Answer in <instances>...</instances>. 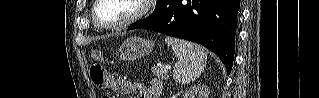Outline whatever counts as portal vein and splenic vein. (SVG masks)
<instances>
[{"mask_svg": "<svg viewBox=\"0 0 319 98\" xmlns=\"http://www.w3.org/2000/svg\"><path fill=\"white\" fill-rule=\"evenodd\" d=\"M160 67L163 69V70H169L171 67L169 65L167 66H163V65H160Z\"/></svg>", "mask_w": 319, "mask_h": 98, "instance_id": "obj_1", "label": "portal vein and splenic vein"}]
</instances>
